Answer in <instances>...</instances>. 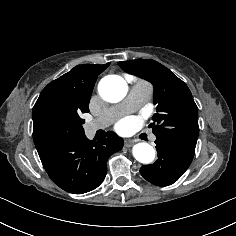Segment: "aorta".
<instances>
[{"mask_svg": "<svg viewBox=\"0 0 236 236\" xmlns=\"http://www.w3.org/2000/svg\"><path fill=\"white\" fill-rule=\"evenodd\" d=\"M100 96L108 102L116 103L121 101L127 94L128 87L125 80L117 75L104 77L98 86ZM134 158L143 164L152 163L155 159V150L148 143L141 142L133 146Z\"/></svg>", "mask_w": 236, "mask_h": 236, "instance_id": "1", "label": "aorta"}]
</instances>
